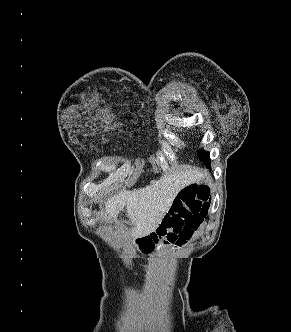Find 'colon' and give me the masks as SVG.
<instances>
[{"label":"colon","instance_id":"obj_1","mask_svg":"<svg viewBox=\"0 0 291 332\" xmlns=\"http://www.w3.org/2000/svg\"><path fill=\"white\" fill-rule=\"evenodd\" d=\"M209 210L210 193L206 189L198 187L181 191L158 229L141 239L142 246L151 249L161 243H186L203 223Z\"/></svg>","mask_w":291,"mask_h":332}]
</instances>
